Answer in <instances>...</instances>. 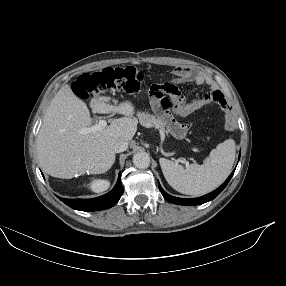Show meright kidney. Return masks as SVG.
<instances>
[{"label":"right kidney","mask_w":286,"mask_h":286,"mask_svg":"<svg viewBox=\"0 0 286 286\" xmlns=\"http://www.w3.org/2000/svg\"><path fill=\"white\" fill-rule=\"evenodd\" d=\"M110 183L107 180H94L90 183V189L100 193L108 189Z\"/></svg>","instance_id":"right-kidney-1"}]
</instances>
